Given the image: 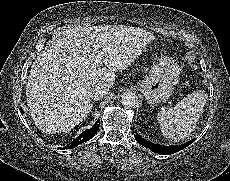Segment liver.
Segmentation results:
<instances>
[{
	"label": "liver",
	"mask_w": 230,
	"mask_h": 181,
	"mask_svg": "<svg viewBox=\"0 0 230 181\" xmlns=\"http://www.w3.org/2000/svg\"><path fill=\"white\" fill-rule=\"evenodd\" d=\"M154 36L140 28L75 26L58 33L31 67L26 86L30 113L39 129L66 132L92 108L88 92L108 90ZM103 52L100 63L96 56ZM104 64V67H103Z\"/></svg>",
	"instance_id": "obj_1"
}]
</instances>
